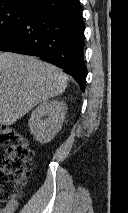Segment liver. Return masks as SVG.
<instances>
[{
	"instance_id": "obj_1",
	"label": "liver",
	"mask_w": 128,
	"mask_h": 213,
	"mask_svg": "<svg viewBox=\"0 0 128 213\" xmlns=\"http://www.w3.org/2000/svg\"><path fill=\"white\" fill-rule=\"evenodd\" d=\"M68 76L33 56L0 52V124L12 125L35 105L61 95Z\"/></svg>"
}]
</instances>
